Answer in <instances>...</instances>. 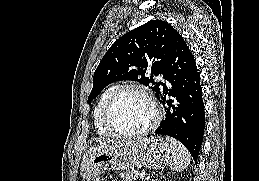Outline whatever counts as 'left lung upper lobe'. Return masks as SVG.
Segmentation results:
<instances>
[{"mask_svg": "<svg viewBox=\"0 0 259 181\" xmlns=\"http://www.w3.org/2000/svg\"><path fill=\"white\" fill-rule=\"evenodd\" d=\"M180 34L167 22L152 20L119 38L100 61L94 76L90 103L109 84L121 81H138L159 95L162 82L153 76L165 78L174 42ZM151 72L150 77L146 73Z\"/></svg>", "mask_w": 259, "mask_h": 181, "instance_id": "1", "label": "left lung upper lobe"}]
</instances>
